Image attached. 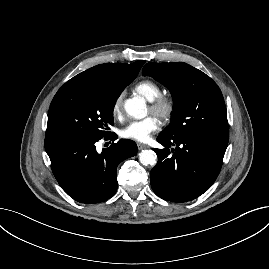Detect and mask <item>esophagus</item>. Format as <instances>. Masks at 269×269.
I'll list each match as a JSON object with an SVG mask.
<instances>
[{"instance_id":"esophagus-1","label":"esophagus","mask_w":269,"mask_h":269,"mask_svg":"<svg viewBox=\"0 0 269 269\" xmlns=\"http://www.w3.org/2000/svg\"><path fill=\"white\" fill-rule=\"evenodd\" d=\"M137 146H138V149H139V150H143V149H147V148H149L148 145H146V144H142V143H138Z\"/></svg>"}]
</instances>
